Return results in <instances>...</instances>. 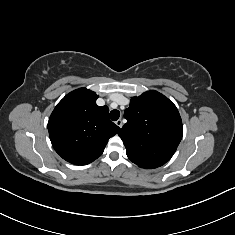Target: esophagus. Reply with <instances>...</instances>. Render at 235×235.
Segmentation results:
<instances>
[{
  "label": "esophagus",
  "mask_w": 235,
  "mask_h": 235,
  "mask_svg": "<svg viewBox=\"0 0 235 235\" xmlns=\"http://www.w3.org/2000/svg\"><path fill=\"white\" fill-rule=\"evenodd\" d=\"M115 123H116V125H117L118 127L122 128L123 122H122L121 119H118Z\"/></svg>",
  "instance_id": "obj_1"
}]
</instances>
